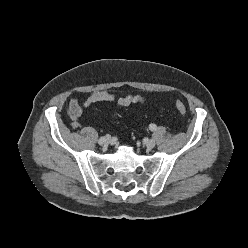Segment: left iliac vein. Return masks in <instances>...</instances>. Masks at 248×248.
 <instances>
[{"label":"left iliac vein","mask_w":248,"mask_h":248,"mask_svg":"<svg viewBox=\"0 0 248 248\" xmlns=\"http://www.w3.org/2000/svg\"><path fill=\"white\" fill-rule=\"evenodd\" d=\"M155 141L153 140V139H149V140H147L146 141V147L148 148V149H152V148H154L155 147Z\"/></svg>","instance_id":"4c4485c4"}]
</instances>
